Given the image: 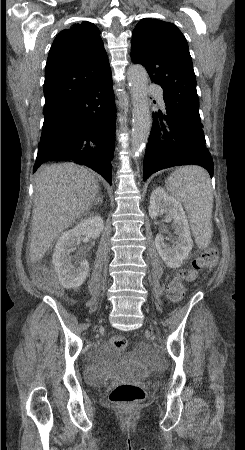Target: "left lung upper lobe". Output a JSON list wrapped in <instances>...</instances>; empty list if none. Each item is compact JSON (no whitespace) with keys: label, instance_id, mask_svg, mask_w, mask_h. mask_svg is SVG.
Segmentation results:
<instances>
[{"label":"left lung upper lobe","instance_id":"5c2ea615","mask_svg":"<svg viewBox=\"0 0 245 450\" xmlns=\"http://www.w3.org/2000/svg\"><path fill=\"white\" fill-rule=\"evenodd\" d=\"M131 59L146 68L167 99L181 104L200 120L188 43L174 24L150 18L140 20L132 34Z\"/></svg>","mask_w":245,"mask_h":450}]
</instances>
